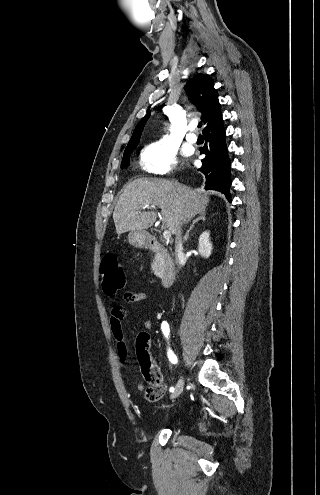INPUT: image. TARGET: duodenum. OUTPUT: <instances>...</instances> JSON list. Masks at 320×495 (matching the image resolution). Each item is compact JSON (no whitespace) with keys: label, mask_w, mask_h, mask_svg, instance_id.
<instances>
[{"label":"duodenum","mask_w":320,"mask_h":495,"mask_svg":"<svg viewBox=\"0 0 320 495\" xmlns=\"http://www.w3.org/2000/svg\"><path fill=\"white\" fill-rule=\"evenodd\" d=\"M147 247L149 250L158 253L161 256V283L165 287L170 286L175 279L176 266L169 251L157 238H151L147 243Z\"/></svg>","instance_id":"obj_1"}]
</instances>
